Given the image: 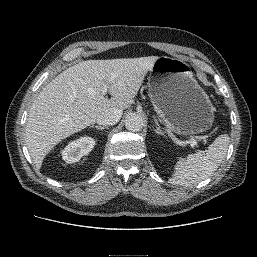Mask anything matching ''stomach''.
<instances>
[{
	"label": "stomach",
	"mask_w": 257,
	"mask_h": 257,
	"mask_svg": "<svg viewBox=\"0 0 257 257\" xmlns=\"http://www.w3.org/2000/svg\"><path fill=\"white\" fill-rule=\"evenodd\" d=\"M148 87L155 111L172 131L195 135L212 127L214 107L186 61L158 57L150 69Z\"/></svg>",
	"instance_id": "0dacf381"
}]
</instances>
